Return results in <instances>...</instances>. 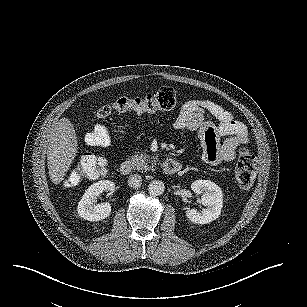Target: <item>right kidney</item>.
I'll list each match as a JSON object with an SVG mask.
<instances>
[{
  "label": "right kidney",
  "instance_id": "1",
  "mask_svg": "<svg viewBox=\"0 0 307 307\" xmlns=\"http://www.w3.org/2000/svg\"><path fill=\"white\" fill-rule=\"evenodd\" d=\"M115 191V184L110 180H102L88 187L78 203V215L89 221H99L110 215L112 210L109 202L97 204V198L104 192L110 196Z\"/></svg>",
  "mask_w": 307,
  "mask_h": 307
}]
</instances>
